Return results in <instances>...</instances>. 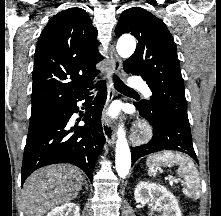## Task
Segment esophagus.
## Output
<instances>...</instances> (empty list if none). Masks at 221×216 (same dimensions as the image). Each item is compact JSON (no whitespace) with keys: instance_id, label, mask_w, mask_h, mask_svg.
<instances>
[{"instance_id":"34e87169","label":"esophagus","mask_w":221,"mask_h":216,"mask_svg":"<svg viewBox=\"0 0 221 216\" xmlns=\"http://www.w3.org/2000/svg\"><path fill=\"white\" fill-rule=\"evenodd\" d=\"M110 70L114 73L120 74L122 70V62L118 54L116 53L113 46L110 47ZM107 101L104 109V113L106 112L110 102L117 97V92L113 87L112 75L109 74L107 77ZM102 129L103 134L107 143L112 146L115 143V129L113 123L108 119L105 114H103L102 118Z\"/></svg>"}]
</instances>
